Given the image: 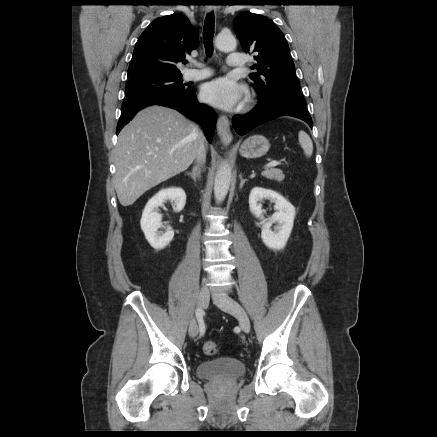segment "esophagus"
<instances>
[{"label":"esophagus","mask_w":437,"mask_h":437,"mask_svg":"<svg viewBox=\"0 0 437 437\" xmlns=\"http://www.w3.org/2000/svg\"><path fill=\"white\" fill-rule=\"evenodd\" d=\"M214 10H215V7H213V6H208L206 8V11L208 13H210V12H212ZM217 133H218V135L220 137V140H221V142L223 144L228 145V144L231 143V141H232V133H231V130H230V121L224 115H221L218 118V121H217Z\"/></svg>","instance_id":"obj_1"}]
</instances>
